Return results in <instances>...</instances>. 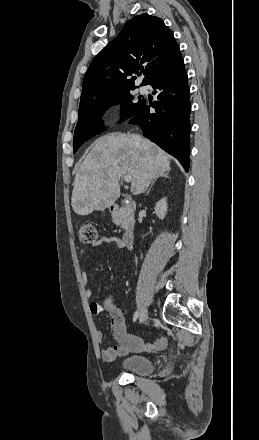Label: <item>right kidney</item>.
<instances>
[{"label":"right kidney","instance_id":"ca27d5eb","mask_svg":"<svg viewBox=\"0 0 259 440\" xmlns=\"http://www.w3.org/2000/svg\"><path fill=\"white\" fill-rule=\"evenodd\" d=\"M155 212L159 219L163 220L167 213V200L166 198H162L155 205Z\"/></svg>","mask_w":259,"mask_h":440}]
</instances>
